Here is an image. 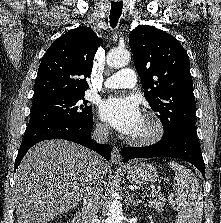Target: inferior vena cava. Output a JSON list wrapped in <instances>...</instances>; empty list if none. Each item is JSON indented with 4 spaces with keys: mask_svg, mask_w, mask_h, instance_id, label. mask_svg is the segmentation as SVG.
<instances>
[{
    "mask_svg": "<svg viewBox=\"0 0 221 223\" xmlns=\"http://www.w3.org/2000/svg\"><path fill=\"white\" fill-rule=\"evenodd\" d=\"M109 127L104 124H97L92 137L99 143L108 142ZM94 155V154H93ZM92 162L87 179L84 193V202L82 208V221L84 223H94L97 219V212L99 209L101 192H102V178L98 171V156Z\"/></svg>",
    "mask_w": 221,
    "mask_h": 223,
    "instance_id": "1",
    "label": "inferior vena cava"
}]
</instances>
